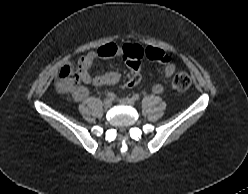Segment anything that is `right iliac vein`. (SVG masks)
<instances>
[{
  "label": "right iliac vein",
  "mask_w": 248,
  "mask_h": 194,
  "mask_svg": "<svg viewBox=\"0 0 248 194\" xmlns=\"http://www.w3.org/2000/svg\"><path fill=\"white\" fill-rule=\"evenodd\" d=\"M103 106H104V108H106V109L110 108V107L112 106V101H111L110 99H105V100L103 101Z\"/></svg>",
  "instance_id": "1"
}]
</instances>
